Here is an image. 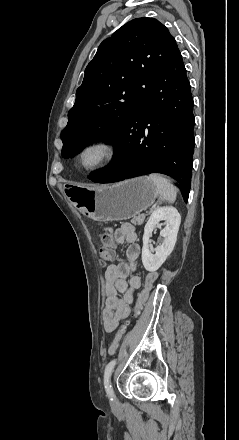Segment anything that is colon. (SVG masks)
I'll return each mask as SVG.
<instances>
[{"label": "colon", "instance_id": "1", "mask_svg": "<svg viewBox=\"0 0 239 440\" xmlns=\"http://www.w3.org/2000/svg\"><path fill=\"white\" fill-rule=\"evenodd\" d=\"M113 245L114 244H113V240L111 237V233L109 230H106L104 232V234L102 235V246L99 250L100 259L103 263H106L111 259V256L113 253ZM156 278H157L156 273H150L146 277L144 288L138 297V300H137V303H136V306L134 309V315L137 316L141 313L146 301L148 300L149 294L153 288V284H154ZM127 326H128V322H125L118 329L110 347L108 348V353L110 355H113L116 353L118 346H119V342H120L123 334L125 333Z\"/></svg>", "mask_w": 239, "mask_h": 440}]
</instances>
